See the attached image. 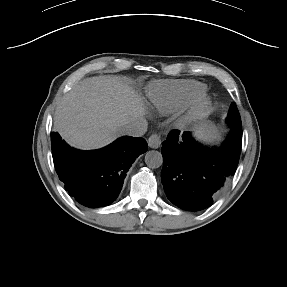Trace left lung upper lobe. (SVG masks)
<instances>
[{
  "instance_id": "left-lung-upper-lobe-1",
  "label": "left lung upper lobe",
  "mask_w": 287,
  "mask_h": 287,
  "mask_svg": "<svg viewBox=\"0 0 287 287\" xmlns=\"http://www.w3.org/2000/svg\"><path fill=\"white\" fill-rule=\"evenodd\" d=\"M227 121L230 125L241 122L240 114L235 103H232L230 106Z\"/></svg>"
}]
</instances>
